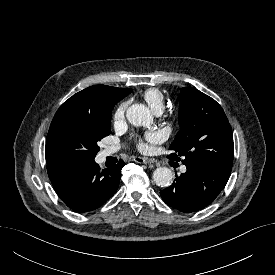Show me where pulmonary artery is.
<instances>
[{"label":"pulmonary artery","instance_id":"e3ab8cb5","mask_svg":"<svg viewBox=\"0 0 275 275\" xmlns=\"http://www.w3.org/2000/svg\"><path fill=\"white\" fill-rule=\"evenodd\" d=\"M160 112H161V111H157L156 113L159 114ZM116 151H117L116 148L109 147V148L106 149L105 153H106L107 155H111V154L115 153ZM185 170H186V168H185L184 166L181 167V171H182V172H185Z\"/></svg>","mask_w":275,"mask_h":275}]
</instances>
